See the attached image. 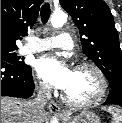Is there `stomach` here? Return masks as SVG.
Returning <instances> with one entry per match:
<instances>
[{
    "instance_id": "0dacf381",
    "label": "stomach",
    "mask_w": 122,
    "mask_h": 123,
    "mask_svg": "<svg viewBox=\"0 0 122 123\" xmlns=\"http://www.w3.org/2000/svg\"><path fill=\"white\" fill-rule=\"evenodd\" d=\"M63 123H101V120L94 112L82 110L76 116L63 117Z\"/></svg>"
}]
</instances>
